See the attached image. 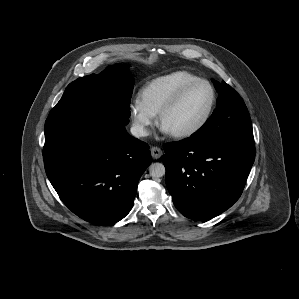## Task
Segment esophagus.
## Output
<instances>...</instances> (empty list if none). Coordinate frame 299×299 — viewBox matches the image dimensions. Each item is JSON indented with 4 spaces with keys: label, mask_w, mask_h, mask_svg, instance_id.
Returning <instances> with one entry per match:
<instances>
[{
    "label": "esophagus",
    "mask_w": 299,
    "mask_h": 299,
    "mask_svg": "<svg viewBox=\"0 0 299 299\" xmlns=\"http://www.w3.org/2000/svg\"><path fill=\"white\" fill-rule=\"evenodd\" d=\"M151 155L154 159H159L162 156V150L159 147H152L151 148Z\"/></svg>",
    "instance_id": "34e87169"
}]
</instances>
